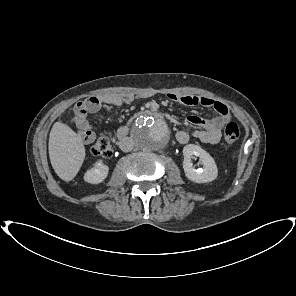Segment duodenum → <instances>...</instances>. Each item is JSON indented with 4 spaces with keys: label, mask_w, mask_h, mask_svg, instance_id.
<instances>
[{
    "label": "duodenum",
    "mask_w": 296,
    "mask_h": 296,
    "mask_svg": "<svg viewBox=\"0 0 296 296\" xmlns=\"http://www.w3.org/2000/svg\"><path fill=\"white\" fill-rule=\"evenodd\" d=\"M147 116V115H152L154 116L156 119H163V115L158 112V111H154V110H150V109H145V110H142L140 112H138L135 116H134V119L136 117H139V116ZM128 132H129V126L126 125V126H122L118 131H117V139H118V142H119V145L121 147L125 146V144L127 143L128 141Z\"/></svg>",
    "instance_id": "410a0bca"
}]
</instances>
